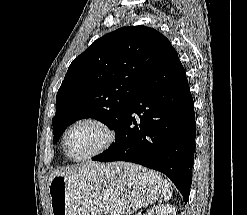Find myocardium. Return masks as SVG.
I'll return each instance as SVG.
<instances>
[{
    "instance_id": "1",
    "label": "myocardium",
    "mask_w": 247,
    "mask_h": 215,
    "mask_svg": "<svg viewBox=\"0 0 247 215\" xmlns=\"http://www.w3.org/2000/svg\"><path fill=\"white\" fill-rule=\"evenodd\" d=\"M82 123H90V124L97 126L99 129H101L102 132L104 133V141L92 153H90L86 156H83V157H74L68 152L67 139H68V135L70 134V132L77 125L82 124ZM114 140H115V132L107 122H105L104 120H102L98 117H95V116H83V117H80V118L76 119L75 121H73L69 125V127L66 129V131L63 135L62 145H63V149H64L65 154L71 160H73V161H85V160H89V159H92V158H95V157L102 155L104 152H106L112 146V144L114 143Z\"/></svg>"
}]
</instances>
